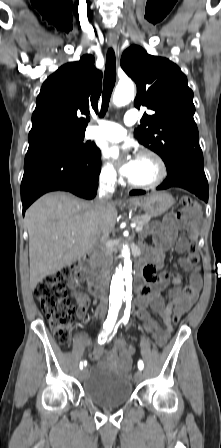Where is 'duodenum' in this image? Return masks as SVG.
<instances>
[{
    "label": "duodenum",
    "instance_id": "410a0bca",
    "mask_svg": "<svg viewBox=\"0 0 221 448\" xmlns=\"http://www.w3.org/2000/svg\"><path fill=\"white\" fill-rule=\"evenodd\" d=\"M145 258V253H144ZM81 271L87 280L88 290L93 295H100L104 288L102 282L103 275L100 271L96 270L92 252L86 253L84 259L81 262Z\"/></svg>",
    "mask_w": 221,
    "mask_h": 448
}]
</instances>
